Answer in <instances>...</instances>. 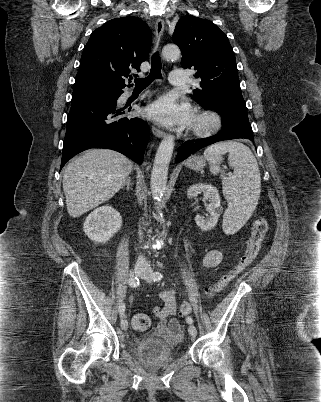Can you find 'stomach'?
Wrapping results in <instances>:
<instances>
[{
	"label": "stomach",
	"instance_id": "stomach-1",
	"mask_svg": "<svg viewBox=\"0 0 321 402\" xmlns=\"http://www.w3.org/2000/svg\"><path fill=\"white\" fill-rule=\"evenodd\" d=\"M186 164L189 168L200 171L204 168L206 163L202 156H192L188 159Z\"/></svg>",
	"mask_w": 321,
	"mask_h": 402
}]
</instances>
